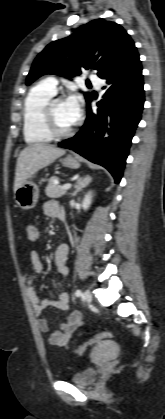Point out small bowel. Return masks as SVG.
I'll list each match as a JSON object with an SVG mask.
<instances>
[{"label": "small bowel", "mask_w": 165, "mask_h": 419, "mask_svg": "<svg viewBox=\"0 0 165 419\" xmlns=\"http://www.w3.org/2000/svg\"><path fill=\"white\" fill-rule=\"evenodd\" d=\"M43 211L47 216L58 217L60 206L56 201L48 200L43 205ZM30 229L35 231L34 236L31 235ZM27 236L29 240L36 241L39 238L38 228L35 225H29L27 227ZM68 256L69 246L67 244L58 245L54 253V260L57 274L60 277H66L69 274V269L67 267ZM41 270L42 264L40 261V252L38 250H34L30 254V265L24 275V283L28 298L34 308L40 330L44 333L49 332V343L53 346L68 349L69 341L75 336L78 328H80L83 324L82 314L80 311L72 312L59 325L58 329L51 330L49 321L43 316L44 310L48 307L66 310L69 306L70 296L67 292L61 291L55 300H40L34 287V281Z\"/></svg>", "instance_id": "obj_1"}]
</instances>
